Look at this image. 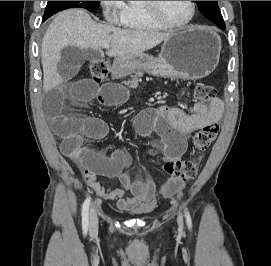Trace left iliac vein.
Here are the masks:
<instances>
[{"label": "left iliac vein", "instance_id": "obj_1", "mask_svg": "<svg viewBox=\"0 0 271 266\" xmlns=\"http://www.w3.org/2000/svg\"><path fill=\"white\" fill-rule=\"evenodd\" d=\"M177 222H178V226L180 228H183V220H182V216L180 214H178V216H177Z\"/></svg>", "mask_w": 271, "mask_h": 266}]
</instances>
